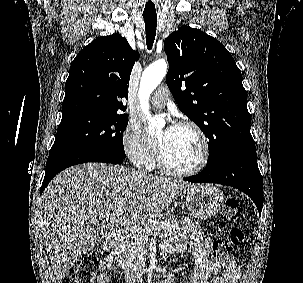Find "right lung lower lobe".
Instances as JSON below:
<instances>
[{"instance_id": "1", "label": "right lung lower lobe", "mask_w": 303, "mask_h": 283, "mask_svg": "<svg viewBox=\"0 0 303 283\" xmlns=\"http://www.w3.org/2000/svg\"><path fill=\"white\" fill-rule=\"evenodd\" d=\"M123 161L124 159L120 157L94 152H66L56 155H49L40 193L43 192L48 183L56 174L70 166L86 162L121 164Z\"/></svg>"}]
</instances>
